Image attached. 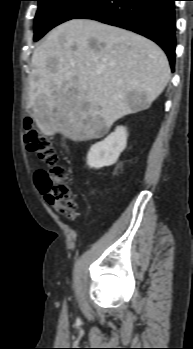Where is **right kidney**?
<instances>
[{"label":"right kidney","mask_w":193,"mask_h":349,"mask_svg":"<svg viewBox=\"0 0 193 349\" xmlns=\"http://www.w3.org/2000/svg\"><path fill=\"white\" fill-rule=\"evenodd\" d=\"M127 136V129L118 126L103 141L92 145L87 154V165L90 168L100 169L116 163L120 154L126 148Z\"/></svg>","instance_id":"right-kidney-1"}]
</instances>
